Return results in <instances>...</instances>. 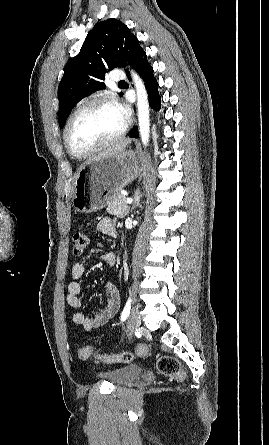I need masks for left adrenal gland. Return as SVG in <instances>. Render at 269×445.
I'll use <instances>...</instances> for the list:
<instances>
[{"instance_id":"left-adrenal-gland-1","label":"left adrenal gland","mask_w":269,"mask_h":445,"mask_svg":"<svg viewBox=\"0 0 269 445\" xmlns=\"http://www.w3.org/2000/svg\"><path fill=\"white\" fill-rule=\"evenodd\" d=\"M140 198H141V196H140L139 194H137V195L135 196V199H134V205H133L131 211H133L134 208H135L136 206H138L139 201H140Z\"/></svg>"}]
</instances>
